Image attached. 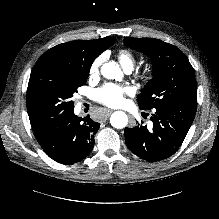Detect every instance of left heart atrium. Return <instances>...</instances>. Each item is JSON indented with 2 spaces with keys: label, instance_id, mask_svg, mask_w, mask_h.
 <instances>
[{
  "label": "left heart atrium",
  "instance_id": "39dd6f15",
  "mask_svg": "<svg viewBox=\"0 0 219 219\" xmlns=\"http://www.w3.org/2000/svg\"><path fill=\"white\" fill-rule=\"evenodd\" d=\"M132 93L131 88L107 83L100 87L95 95L99 103L108 107H117L124 103L125 96Z\"/></svg>",
  "mask_w": 219,
  "mask_h": 219
}]
</instances>
